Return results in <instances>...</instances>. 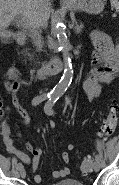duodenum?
<instances>
[{"label":"duodenum","mask_w":119,"mask_h":185,"mask_svg":"<svg viewBox=\"0 0 119 185\" xmlns=\"http://www.w3.org/2000/svg\"><path fill=\"white\" fill-rule=\"evenodd\" d=\"M16 42L19 45H24L26 43V34L19 32L16 35ZM75 57H78L79 52H74ZM64 63L60 58H54L48 63L44 64L42 67L38 68L33 72V76L36 79H43L49 76L58 74L63 69Z\"/></svg>","instance_id":"1"}]
</instances>
